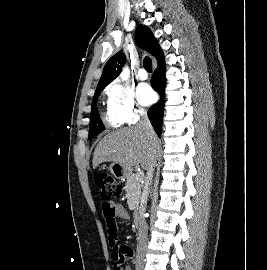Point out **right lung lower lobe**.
I'll use <instances>...</instances> for the list:
<instances>
[{
  "instance_id": "1",
  "label": "right lung lower lobe",
  "mask_w": 267,
  "mask_h": 270,
  "mask_svg": "<svg viewBox=\"0 0 267 270\" xmlns=\"http://www.w3.org/2000/svg\"><path fill=\"white\" fill-rule=\"evenodd\" d=\"M158 67L151 80V86L160 95V100L148 110V118L158 136H161L162 119L164 110V90H165V62L163 55L157 60Z\"/></svg>"
}]
</instances>
